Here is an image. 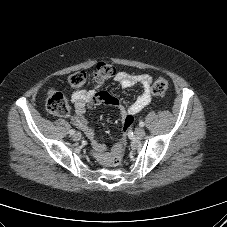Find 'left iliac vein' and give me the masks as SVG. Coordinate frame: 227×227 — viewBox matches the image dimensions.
<instances>
[{
	"mask_svg": "<svg viewBox=\"0 0 227 227\" xmlns=\"http://www.w3.org/2000/svg\"><path fill=\"white\" fill-rule=\"evenodd\" d=\"M135 136L141 138L143 136H145V130L142 128H138L135 130Z\"/></svg>",
	"mask_w": 227,
	"mask_h": 227,
	"instance_id": "1",
	"label": "left iliac vein"
}]
</instances>
